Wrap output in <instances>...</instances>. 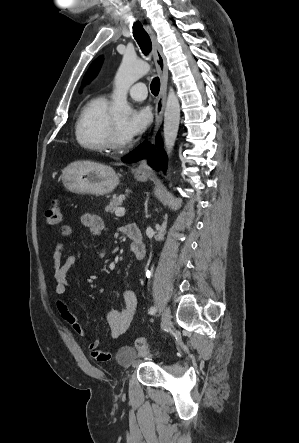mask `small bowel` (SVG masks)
Returning <instances> with one entry per match:
<instances>
[{
  "label": "small bowel",
  "instance_id": "c3829d8e",
  "mask_svg": "<svg viewBox=\"0 0 299 443\" xmlns=\"http://www.w3.org/2000/svg\"><path fill=\"white\" fill-rule=\"evenodd\" d=\"M80 224L83 227L89 229V231L98 239V246L95 253V258L102 259L107 254L106 246V226L101 217L92 214H84L80 218ZM127 228V227H126ZM126 228L123 230L126 234ZM61 236L69 237L73 233V228L69 224H64L59 230ZM64 249L63 243L59 242L55 246L53 255V270L55 277V293L57 295L56 307L60 316L71 326L73 331L86 339V345L89 349L92 358L99 362L110 361L113 358V354L110 352H104L100 350V342L95 339H88L86 331L82 326L80 320L77 318L74 310L70 307L65 293L67 290V274L70 268L80 260L83 255L78 252L72 254L65 259L62 257V251ZM140 260L142 257H137ZM121 297L123 305L119 309H111L106 317L107 325L110 330L111 336L118 338L123 335L130 327L134 318L137 308V296L131 289H123L121 291Z\"/></svg>",
  "mask_w": 299,
  "mask_h": 443
}]
</instances>
